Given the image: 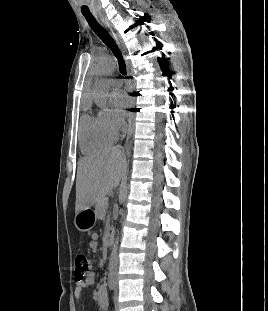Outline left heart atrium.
I'll return each mask as SVG.
<instances>
[{
	"label": "left heart atrium",
	"instance_id": "obj_1",
	"mask_svg": "<svg viewBox=\"0 0 268 311\" xmlns=\"http://www.w3.org/2000/svg\"><path fill=\"white\" fill-rule=\"evenodd\" d=\"M122 97H124V95H122V94L114 95L112 97L114 99V105L116 107L125 108V107L130 105V101L123 100Z\"/></svg>",
	"mask_w": 268,
	"mask_h": 311
}]
</instances>
